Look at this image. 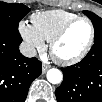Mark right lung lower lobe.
Here are the masks:
<instances>
[{"label": "right lung lower lobe", "mask_w": 102, "mask_h": 102, "mask_svg": "<svg viewBox=\"0 0 102 102\" xmlns=\"http://www.w3.org/2000/svg\"><path fill=\"white\" fill-rule=\"evenodd\" d=\"M18 31H0V102H24L30 84L41 74L42 64L19 52Z\"/></svg>", "instance_id": "98d812e1"}]
</instances>
